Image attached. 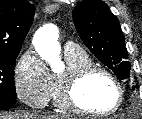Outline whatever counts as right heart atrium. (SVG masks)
I'll return each mask as SVG.
<instances>
[{"label": "right heart atrium", "instance_id": "right-heart-atrium-1", "mask_svg": "<svg viewBox=\"0 0 142 119\" xmlns=\"http://www.w3.org/2000/svg\"><path fill=\"white\" fill-rule=\"evenodd\" d=\"M18 98L32 107H44L51 97L52 75L39 55L27 50L20 57L14 72Z\"/></svg>", "mask_w": 142, "mask_h": 119}]
</instances>
